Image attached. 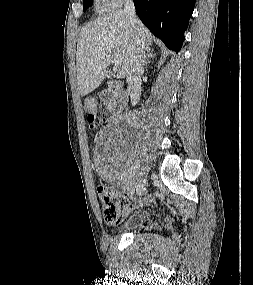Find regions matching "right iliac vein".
<instances>
[{
	"label": "right iliac vein",
	"instance_id": "1",
	"mask_svg": "<svg viewBox=\"0 0 253 285\" xmlns=\"http://www.w3.org/2000/svg\"><path fill=\"white\" fill-rule=\"evenodd\" d=\"M147 189V181L143 179L136 187V192L138 195H142Z\"/></svg>",
	"mask_w": 253,
	"mask_h": 285
}]
</instances>
